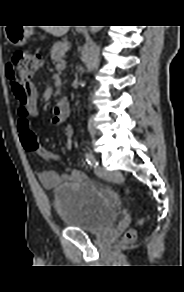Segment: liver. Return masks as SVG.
<instances>
[{"label": "liver", "instance_id": "1", "mask_svg": "<svg viewBox=\"0 0 184 292\" xmlns=\"http://www.w3.org/2000/svg\"><path fill=\"white\" fill-rule=\"evenodd\" d=\"M44 30L55 37H60L68 32L69 26H46Z\"/></svg>", "mask_w": 184, "mask_h": 292}]
</instances>
